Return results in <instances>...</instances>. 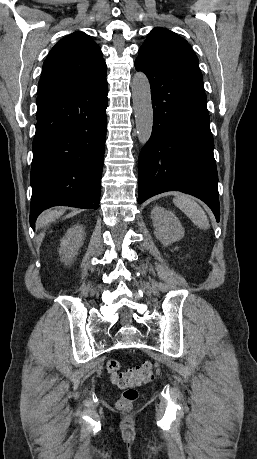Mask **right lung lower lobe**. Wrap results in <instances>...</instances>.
<instances>
[{"instance_id":"right-lung-lower-lobe-1","label":"right lung lower lobe","mask_w":257,"mask_h":459,"mask_svg":"<svg viewBox=\"0 0 257 459\" xmlns=\"http://www.w3.org/2000/svg\"><path fill=\"white\" fill-rule=\"evenodd\" d=\"M106 76L37 98L30 224L57 205L98 209L108 105Z\"/></svg>"}]
</instances>
